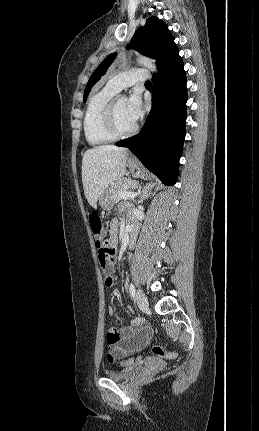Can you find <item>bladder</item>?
Wrapping results in <instances>:
<instances>
[{"instance_id": "31cf9c89", "label": "bladder", "mask_w": 259, "mask_h": 431, "mask_svg": "<svg viewBox=\"0 0 259 431\" xmlns=\"http://www.w3.org/2000/svg\"><path fill=\"white\" fill-rule=\"evenodd\" d=\"M137 372V368H128L120 371H108L105 376L113 381L121 382L131 378Z\"/></svg>"}]
</instances>
